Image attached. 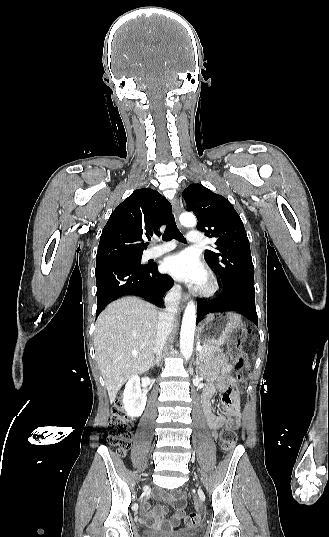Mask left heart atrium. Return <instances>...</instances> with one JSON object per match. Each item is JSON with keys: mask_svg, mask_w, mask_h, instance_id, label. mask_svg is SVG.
Masks as SVG:
<instances>
[{"mask_svg": "<svg viewBox=\"0 0 329 537\" xmlns=\"http://www.w3.org/2000/svg\"><path fill=\"white\" fill-rule=\"evenodd\" d=\"M164 269L178 280L201 285L206 278V271L196 254L190 251L167 257Z\"/></svg>", "mask_w": 329, "mask_h": 537, "instance_id": "39dd6f15", "label": "left heart atrium"}]
</instances>
